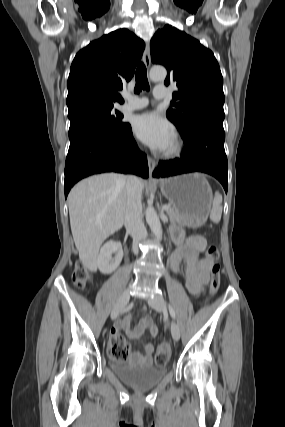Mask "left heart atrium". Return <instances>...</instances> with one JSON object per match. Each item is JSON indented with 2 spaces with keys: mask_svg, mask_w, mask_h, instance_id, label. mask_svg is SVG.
I'll return each mask as SVG.
<instances>
[{
  "mask_svg": "<svg viewBox=\"0 0 285 427\" xmlns=\"http://www.w3.org/2000/svg\"><path fill=\"white\" fill-rule=\"evenodd\" d=\"M135 135L147 146L157 151H165L174 138L173 126L155 112L137 116L133 123Z\"/></svg>",
  "mask_w": 285,
  "mask_h": 427,
  "instance_id": "obj_1",
  "label": "left heart atrium"
}]
</instances>
